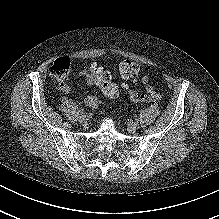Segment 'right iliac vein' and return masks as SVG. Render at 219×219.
Returning <instances> with one entry per match:
<instances>
[{"mask_svg": "<svg viewBox=\"0 0 219 219\" xmlns=\"http://www.w3.org/2000/svg\"><path fill=\"white\" fill-rule=\"evenodd\" d=\"M79 122H85L87 120V115L82 113L78 117Z\"/></svg>", "mask_w": 219, "mask_h": 219, "instance_id": "1", "label": "right iliac vein"}]
</instances>
